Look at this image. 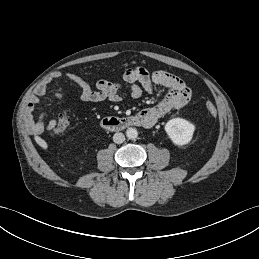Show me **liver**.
<instances>
[{"mask_svg":"<svg viewBox=\"0 0 259 259\" xmlns=\"http://www.w3.org/2000/svg\"><path fill=\"white\" fill-rule=\"evenodd\" d=\"M34 139H35L36 143H37L41 148H43V149H45V150L48 148L47 142H46L45 140H43L41 137L35 136Z\"/></svg>","mask_w":259,"mask_h":259,"instance_id":"6515ba94","label":"liver"}]
</instances>
